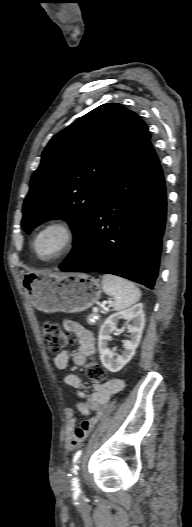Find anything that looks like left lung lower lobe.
Segmentation results:
<instances>
[{"mask_svg":"<svg viewBox=\"0 0 192 527\" xmlns=\"http://www.w3.org/2000/svg\"><path fill=\"white\" fill-rule=\"evenodd\" d=\"M166 210L164 175L149 142L110 185L59 268L114 274L153 289Z\"/></svg>","mask_w":192,"mask_h":527,"instance_id":"obj_1","label":"left lung lower lobe"}]
</instances>
